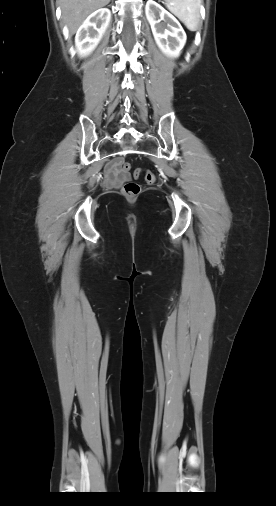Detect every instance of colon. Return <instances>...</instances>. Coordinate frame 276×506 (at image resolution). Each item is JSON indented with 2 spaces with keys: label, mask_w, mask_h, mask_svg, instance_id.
Masks as SVG:
<instances>
[{
  "label": "colon",
  "mask_w": 276,
  "mask_h": 506,
  "mask_svg": "<svg viewBox=\"0 0 276 506\" xmlns=\"http://www.w3.org/2000/svg\"><path fill=\"white\" fill-rule=\"evenodd\" d=\"M116 167L118 169L122 170L123 172L129 171L131 168L129 163H127V162L121 163L120 161L116 163ZM142 174H144L145 181L147 183L153 184L156 182V175L152 171H144L142 169H136L134 171L135 178H139ZM122 193L125 197H127L129 199H134L140 193V186L135 181L126 182L123 185Z\"/></svg>",
  "instance_id": "colon-1"
}]
</instances>
